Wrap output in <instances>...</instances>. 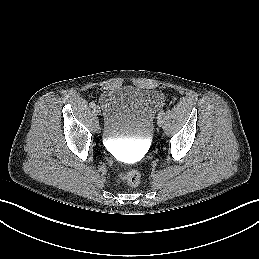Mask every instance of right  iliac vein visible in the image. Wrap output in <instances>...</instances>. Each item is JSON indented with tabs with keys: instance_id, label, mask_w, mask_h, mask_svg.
I'll return each instance as SVG.
<instances>
[{
	"instance_id": "obj_1",
	"label": "right iliac vein",
	"mask_w": 259,
	"mask_h": 259,
	"mask_svg": "<svg viewBox=\"0 0 259 259\" xmlns=\"http://www.w3.org/2000/svg\"><path fill=\"white\" fill-rule=\"evenodd\" d=\"M94 111H95V113H96L97 115H99L100 110H99V108H98V107H95V108H94Z\"/></svg>"
}]
</instances>
